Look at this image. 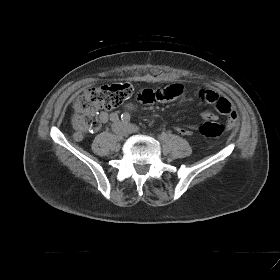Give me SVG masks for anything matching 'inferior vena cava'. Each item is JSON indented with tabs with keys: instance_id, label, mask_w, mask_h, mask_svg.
Wrapping results in <instances>:
<instances>
[{
	"instance_id": "obj_1",
	"label": "inferior vena cava",
	"mask_w": 280,
	"mask_h": 280,
	"mask_svg": "<svg viewBox=\"0 0 280 280\" xmlns=\"http://www.w3.org/2000/svg\"><path fill=\"white\" fill-rule=\"evenodd\" d=\"M113 130H114L115 132H117L116 125H113Z\"/></svg>"
}]
</instances>
